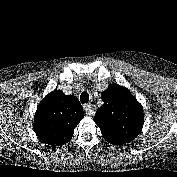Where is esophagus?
Masks as SVG:
<instances>
[{
	"label": "esophagus",
	"mask_w": 177,
	"mask_h": 177,
	"mask_svg": "<svg viewBox=\"0 0 177 177\" xmlns=\"http://www.w3.org/2000/svg\"><path fill=\"white\" fill-rule=\"evenodd\" d=\"M83 109H84V112L87 114V115H93L94 114V109L92 107L91 104H85L83 106Z\"/></svg>",
	"instance_id": "1"
}]
</instances>
